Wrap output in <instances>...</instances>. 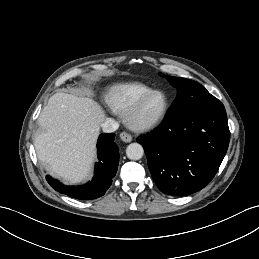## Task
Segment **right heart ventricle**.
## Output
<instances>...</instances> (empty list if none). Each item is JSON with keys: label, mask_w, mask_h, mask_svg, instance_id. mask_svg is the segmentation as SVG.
Wrapping results in <instances>:
<instances>
[{"label": "right heart ventricle", "mask_w": 259, "mask_h": 259, "mask_svg": "<svg viewBox=\"0 0 259 259\" xmlns=\"http://www.w3.org/2000/svg\"><path fill=\"white\" fill-rule=\"evenodd\" d=\"M150 90L152 88L149 85L140 82L116 84L105 92L103 101L110 110L123 115Z\"/></svg>", "instance_id": "obj_1"}]
</instances>
